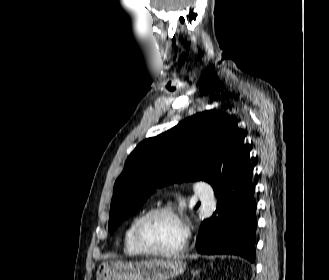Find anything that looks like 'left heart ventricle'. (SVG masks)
I'll use <instances>...</instances> for the list:
<instances>
[{"instance_id":"1","label":"left heart ventricle","mask_w":329,"mask_h":280,"mask_svg":"<svg viewBox=\"0 0 329 280\" xmlns=\"http://www.w3.org/2000/svg\"><path fill=\"white\" fill-rule=\"evenodd\" d=\"M183 231L176 218L160 214L151 218L143 228V241L157 250H168L176 247L182 240Z\"/></svg>"}]
</instances>
